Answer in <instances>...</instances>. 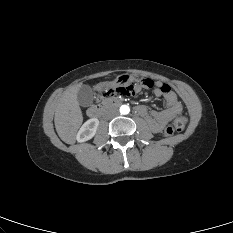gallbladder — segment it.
<instances>
[{"label": "gallbladder", "instance_id": "obj_1", "mask_svg": "<svg viewBox=\"0 0 233 233\" xmlns=\"http://www.w3.org/2000/svg\"><path fill=\"white\" fill-rule=\"evenodd\" d=\"M77 100L83 107L90 106L94 100L93 90L88 85H82L78 90Z\"/></svg>", "mask_w": 233, "mask_h": 233}]
</instances>
